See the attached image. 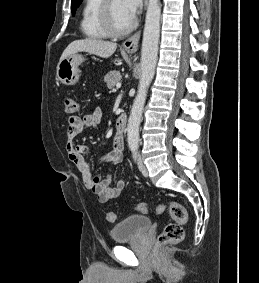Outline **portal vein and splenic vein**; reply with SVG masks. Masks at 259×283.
I'll use <instances>...</instances> for the list:
<instances>
[{
    "label": "portal vein and splenic vein",
    "mask_w": 259,
    "mask_h": 283,
    "mask_svg": "<svg viewBox=\"0 0 259 283\" xmlns=\"http://www.w3.org/2000/svg\"><path fill=\"white\" fill-rule=\"evenodd\" d=\"M121 87V84L120 83H117L116 84V88H120Z\"/></svg>",
    "instance_id": "18ae733b"
}]
</instances>
